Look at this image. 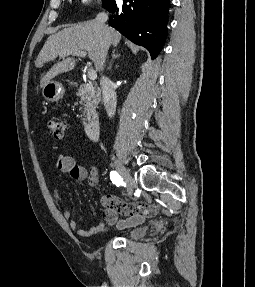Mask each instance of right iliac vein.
I'll use <instances>...</instances> for the list:
<instances>
[{"mask_svg": "<svg viewBox=\"0 0 255 287\" xmlns=\"http://www.w3.org/2000/svg\"><path fill=\"white\" fill-rule=\"evenodd\" d=\"M114 163L116 165V168L118 169L119 173L121 174L126 186H127V192L129 195L133 193L135 183L134 180L132 179L131 175L129 172L126 170V168L115 158H113Z\"/></svg>", "mask_w": 255, "mask_h": 287, "instance_id": "right-iliac-vein-1", "label": "right iliac vein"}]
</instances>
